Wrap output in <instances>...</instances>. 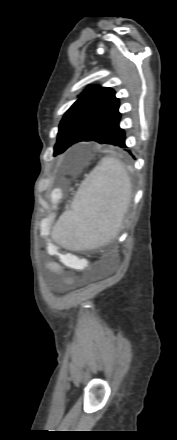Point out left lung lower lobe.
I'll return each instance as SVG.
<instances>
[{"label":"left lung lower lobe","mask_w":177,"mask_h":440,"mask_svg":"<svg viewBox=\"0 0 177 440\" xmlns=\"http://www.w3.org/2000/svg\"><path fill=\"white\" fill-rule=\"evenodd\" d=\"M120 113L109 120L107 123L97 127L80 141H95L100 144H112L122 148L125 145V132L119 126ZM79 141V142H80ZM130 152L129 150H127Z\"/></svg>","instance_id":"0a47b994"}]
</instances>
